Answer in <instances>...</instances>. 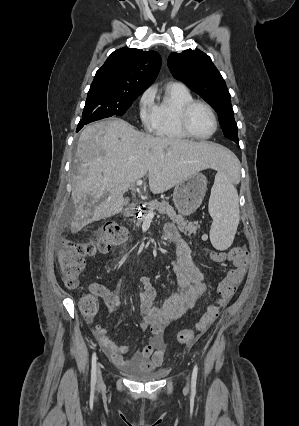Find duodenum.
Listing matches in <instances>:
<instances>
[{
    "instance_id": "410a0bca",
    "label": "duodenum",
    "mask_w": 299,
    "mask_h": 426,
    "mask_svg": "<svg viewBox=\"0 0 299 426\" xmlns=\"http://www.w3.org/2000/svg\"><path fill=\"white\" fill-rule=\"evenodd\" d=\"M138 211V206L137 205H132L130 207H128L125 211V217L126 218H132L136 215Z\"/></svg>"
}]
</instances>
